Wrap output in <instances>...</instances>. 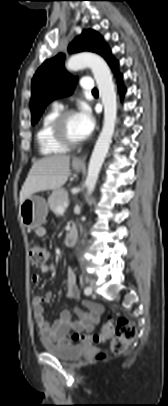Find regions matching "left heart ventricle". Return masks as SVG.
I'll return each instance as SVG.
<instances>
[{
  "instance_id": "b2bd125f",
  "label": "left heart ventricle",
  "mask_w": 168,
  "mask_h": 406,
  "mask_svg": "<svg viewBox=\"0 0 168 406\" xmlns=\"http://www.w3.org/2000/svg\"><path fill=\"white\" fill-rule=\"evenodd\" d=\"M66 132L68 136L73 140H81L83 139L82 133L79 129L76 115H71L66 121Z\"/></svg>"
}]
</instances>
